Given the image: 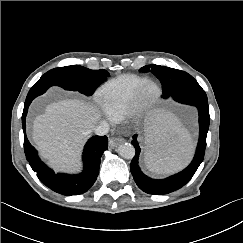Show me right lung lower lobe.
I'll return each instance as SVG.
<instances>
[{
	"instance_id": "98d812e1",
	"label": "right lung lower lobe",
	"mask_w": 243,
	"mask_h": 243,
	"mask_svg": "<svg viewBox=\"0 0 243 243\" xmlns=\"http://www.w3.org/2000/svg\"><path fill=\"white\" fill-rule=\"evenodd\" d=\"M47 89V87H32L24 104L22 126L26 158L33 171L37 173L39 180L51 190L62 195L82 194L86 192L97 179L101 156L108 148V138L106 136H93L88 140L83 151L84 170L81 174H56L52 169L47 167L38 157L36 149L28 141L25 124L28 107L32 100L45 93Z\"/></svg>"
}]
</instances>
